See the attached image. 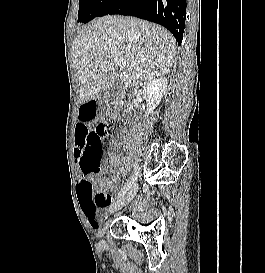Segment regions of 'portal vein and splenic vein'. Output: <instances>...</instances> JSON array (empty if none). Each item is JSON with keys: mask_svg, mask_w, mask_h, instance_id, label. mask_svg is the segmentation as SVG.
<instances>
[{"mask_svg": "<svg viewBox=\"0 0 265 273\" xmlns=\"http://www.w3.org/2000/svg\"><path fill=\"white\" fill-rule=\"evenodd\" d=\"M113 61L120 69H125L128 66V63L121 58H114Z\"/></svg>", "mask_w": 265, "mask_h": 273, "instance_id": "obj_1", "label": "portal vein and splenic vein"}]
</instances>
